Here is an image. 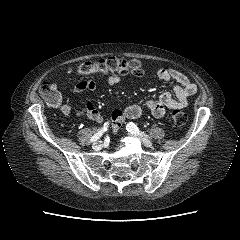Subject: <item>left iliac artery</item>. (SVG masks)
<instances>
[{
    "mask_svg": "<svg viewBox=\"0 0 240 240\" xmlns=\"http://www.w3.org/2000/svg\"><path fill=\"white\" fill-rule=\"evenodd\" d=\"M126 129L128 132H130L131 134H134V135H142V136H145V137H149L148 135H146L144 132H141L139 130V128L137 127V125L133 122H129L126 126Z\"/></svg>",
    "mask_w": 240,
    "mask_h": 240,
    "instance_id": "obj_1",
    "label": "left iliac artery"
}]
</instances>
